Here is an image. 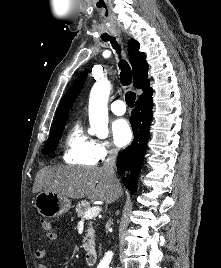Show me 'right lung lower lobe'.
<instances>
[{
    "mask_svg": "<svg viewBox=\"0 0 221 268\" xmlns=\"http://www.w3.org/2000/svg\"><path fill=\"white\" fill-rule=\"evenodd\" d=\"M135 107L130 118L134 139L131 145L121 152L117 161V169L120 174L126 169L133 170L129 178L123 179L126 188L131 193L136 192L137 179L150 135L149 126L153 107L152 94L146 98L139 99L135 103Z\"/></svg>",
    "mask_w": 221,
    "mask_h": 268,
    "instance_id": "98d812e1",
    "label": "right lung lower lobe"
}]
</instances>
